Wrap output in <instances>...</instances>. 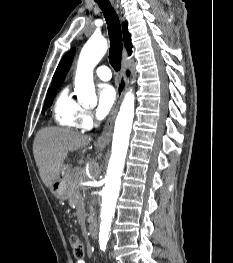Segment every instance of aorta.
I'll list each match as a JSON object with an SVG mask.
<instances>
[{"mask_svg":"<svg viewBox=\"0 0 233 263\" xmlns=\"http://www.w3.org/2000/svg\"><path fill=\"white\" fill-rule=\"evenodd\" d=\"M107 47V41L104 38L92 36L80 53L75 76V93L78 101L83 104L90 103L96 98L93 69L105 55ZM134 100L135 97L132 92L125 95L115 121L106 184L101 193L99 244L102 250L106 249L109 240L111 222L119 196L121 176L134 118Z\"/></svg>","mask_w":233,"mask_h":263,"instance_id":"762f6f07","label":"aorta"}]
</instances>
